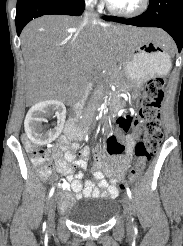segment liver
<instances>
[{
    "label": "liver",
    "mask_w": 183,
    "mask_h": 246,
    "mask_svg": "<svg viewBox=\"0 0 183 246\" xmlns=\"http://www.w3.org/2000/svg\"><path fill=\"white\" fill-rule=\"evenodd\" d=\"M134 40H154L170 46L172 40L159 29L86 24L82 17L45 15L28 23L21 33L26 66L25 91L30 104L64 100L84 89L92 71L123 62Z\"/></svg>",
    "instance_id": "obj_1"
}]
</instances>
